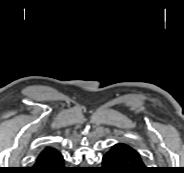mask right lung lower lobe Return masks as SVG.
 Segmentation results:
<instances>
[{
    "label": "right lung lower lobe",
    "instance_id": "right-lung-lower-lobe-1",
    "mask_svg": "<svg viewBox=\"0 0 184 173\" xmlns=\"http://www.w3.org/2000/svg\"><path fill=\"white\" fill-rule=\"evenodd\" d=\"M30 173H69V168L64 166L62 154L54 148L44 149L37 157Z\"/></svg>",
    "mask_w": 184,
    "mask_h": 173
}]
</instances>
